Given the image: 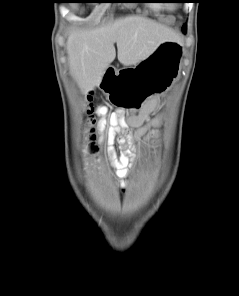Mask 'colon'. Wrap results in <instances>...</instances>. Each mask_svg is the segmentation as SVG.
Instances as JSON below:
<instances>
[{
    "mask_svg": "<svg viewBox=\"0 0 239 296\" xmlns=\"http://www.w3.org/2000/svg\"><path fill=\"white\" fill-rule=\"evenodd\" d=\"M117 79V77H116ZM85 109L88 113V119L86 121V124H87V137L90 141H94L96 139V136H95V133H94V128L93 126L95 125L96 123V119H95V116H94V112H95V108L93 107V105L91 104L90 101H88V103L85 105ZM95 150V145L92 144L90 146V151L93 152Z\"/></svg>",
    "mask_w": 239,
    "mask_h": 296,
    "instance_id": "5ec220e1",
    "label": "colon"
}]
</instances>
